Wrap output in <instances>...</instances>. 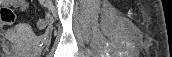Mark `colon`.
I'll list each match as a JSON object with an SVG mask.
<instances>
[{"instance_id": "1", "label": "colon", "mask_w": 172, "mask_h": 57, "mask_svg": "<svg viewBox=\"0 0 172 57\" xmlns=\"http://www.w3.org/2000/svg\"><path fill=\"white\" fill-rule=\"evenodd\" d=\"M16 16L14 11L9 7L0 8V20L6 25H12L15 22ZM47 25L46 20L38 19L36 21V27L40 30L44 29Z\"/></svg>"}]
</instances>
